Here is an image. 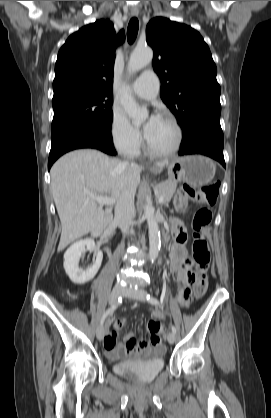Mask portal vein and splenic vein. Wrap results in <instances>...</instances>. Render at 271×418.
I'll list each match as a JSON object with an SVG mask.
<instances>
[{
	"label": "portal vein and splenic vein",
	"mask_w": 271,
	"mask_h": 418,
	"mask_svg": "<svg viewBox=\"0 0 271 418\" xmlns=\"http://www.w3.org/2000/svg\"><path fill=\"white\" fill-rule=\"evenodd\" d=\"M91 198L95 199L98 204L100 205H113L115 203V199L111 197H105V196H96L93 194L89 195ZM163 197H158V202L163 203Z\"/></svg>",
	"instance_id": "1"
}]
</instances>
